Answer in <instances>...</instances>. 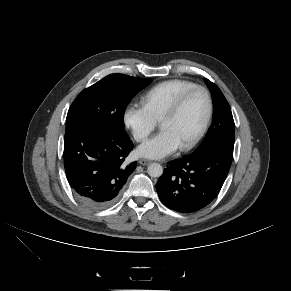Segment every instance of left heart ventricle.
Segmentation results:
<instances>
[{"instance_id": "obj_1", "label": "left heart ventricle", "mask_w": 291, "mask_h": 291, "mask_svg": "<svg viewBox=\"0 0 291 291\" xmlns=\"http://www.w3.org/2000/svg\"><path fill=\"white\" fill-rule=\"evenodd\" d=\"M207 110V101L201 91L192 93L172 118L164 120L160 127L170 131L179 145L187 143L199 130Z\"/></svg>"}]
</instances>
